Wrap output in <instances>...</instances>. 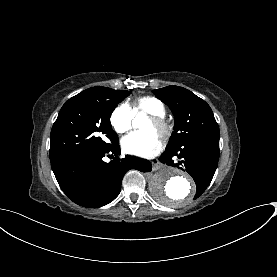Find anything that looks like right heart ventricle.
<instances>
[{"instance_id":"e07e8e85","label":"right heart ventricle","mask_w":277,"mask_h":277,"mask_svg":"<svg viewBox=\"0 0 277 277\" xmlns=\"http://www.w3.org/2000/svg\"><path fill=\"white\" fill-rule=\"evenodd\" d=\"M128 108L131 111L132 116H137L140 112L161 116L165 114V107L163 103L160 100L150 96L137 99L136 101L129 104Z\"/></svg>"}]
</instances>
